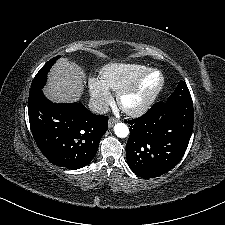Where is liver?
<instances>
[{
  "label": "liver",
  "instance_id": "obj_1",
  "mask_svg": "<svg viewBox=\"0 0 225 225\" xmlns=\"http://www.w3.org/2000/svg\"><path fill=\"white\" fill-rule=\"evenodd\" d=\"M85 74L75 63L61 58L53 66L45 94L57 102L79 101L84 90Z\"/></svg>",
  "mask_w": 225,
  "mask_h": 225
}]
</instances>
